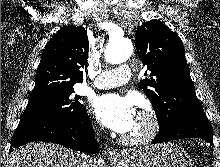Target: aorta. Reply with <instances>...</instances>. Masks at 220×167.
<instances>
[{
	"instance_id": "aorta-1",
	"label": "aorta",
	"mask_w": 220,
	"mask_h": 167,
	"mask_svg": "<svg viewBox=\"0 0 220 167\" xmlns=\"http://www.w3.org/2000/svg\"><path fill=\"white\" fill-rule=\"evenodd\" d=\"M133 53V45L129 39H111L106 47L105 60L111 64H120L128 60Z\"/></svg>"
}]
</instances>
